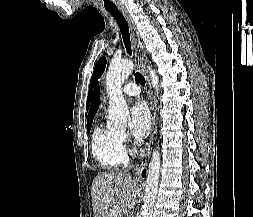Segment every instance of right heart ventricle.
I'll return each instance as SVG.
<instances>
[{"instance_id": "right-heart-ventricle-1", "label": "right heart ventricle", "mask_w": 253, "mask_h": 217, "mask_svg": "<svg viewBox=\"0 0 253 217\" xmlns=\"http://www.w3.org/2000/svg\"><path fill=\"white\" fill-rule=\"evenodd\" d=\"M91 150L94 158L106 170L126 167L129 162L126 150L120 142L119 132L107 125L95 127Z\"/></svg>"}]
</instances>
